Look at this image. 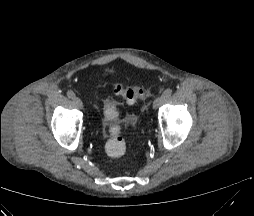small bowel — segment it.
Wrapping results in <instances>:
<instances>
[{"mask_svg": "<svg viewBox=\"0 0 254 216\" xmlns=\"http://www.w3.org/2000/svg\"><path fill=\"white\" fill-rule=\"evenodd\" d=\"M109 102H110V100H107V101H106V103H109Z\"/></svg>", "mask_w": 254, "mask_h": 216, "instance_id": "c3829d8e", "label": "small bowel"}]
</instances>
